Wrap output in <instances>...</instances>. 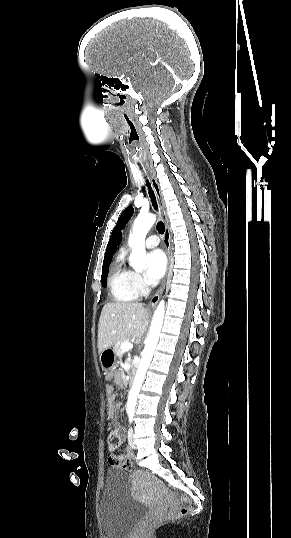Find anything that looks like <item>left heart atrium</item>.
<instances>
[{
	"instance_id": "39dd6f15",
	"label": "left heart atrium",
	"mask_w": 291,
	"mask_h": 538,
	"mask_svg": "<svg viewBox=\"0 0 291 538\" xmlns=\"http://www.w3.org/2000/svg\"><path fill=\"white\" fill-rule=\"evenodd\" d=\"M167 260L162 250L156 249L148 253L145 277L148 282H157L164 274Z\"/></svg>"
}]
</instances>
